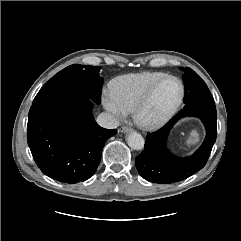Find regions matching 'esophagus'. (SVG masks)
Segmentation results:
<instances>
[{"mask_svg": "<svg viewBox=\"0 0 241 241\" xmlns=\"http://www.w3.org/2000/svg\"><path fill=\"white\" fill-rule=\"evenodd\" d=\"M119 131L122 132V133H129V132L132 131V129L130 127H127V126H122Z\"/></svg>", "mask_w": 241, "mask_h": 241, "instance_id": "1", "label": "esophagus"}]
</instances>
